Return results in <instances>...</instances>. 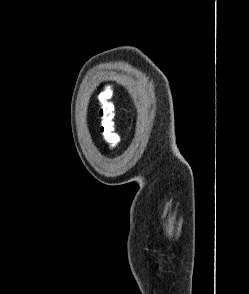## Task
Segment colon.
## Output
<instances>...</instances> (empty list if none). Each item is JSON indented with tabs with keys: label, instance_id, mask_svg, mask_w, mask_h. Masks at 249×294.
I'll list each match as a JSON object with an SVG mask.
<instances>
[{
	"label": "colon",
	"instance_id": "colon-1",
	"mask_svg": "<svg viewBox=\"0 0 249 294\" xmlns=\"http://www.w3.org/2000/svg\"><path fill=\"white\" fill-rule=\"evenodd\" d=\"M112 91L110 88L103 90L97 97L99 105V117L101 120L100 130L105 139L113 146L117 142V135L114 133L115 109L111 101Z\"/></svg>",
	"mask_w": 249,
	"mask_h": 294
}]
</instances>
